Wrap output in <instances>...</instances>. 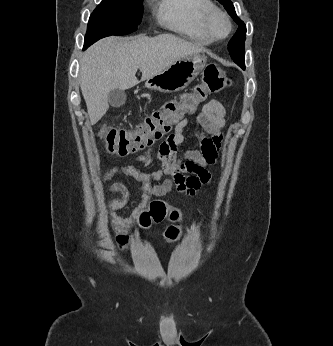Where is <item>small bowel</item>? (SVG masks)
<instances>
[{
  "mask_svg": "<svg viewBox=\"0 0 333 346\" xmlns=\"http://www.w3.org/2000/svg\"><path fill=\"white\" fill-rule=\"evenodd\" d=\"M225 116L226 109L218 100H209L203 106L196 117L201 127V130L196 132L200 146L198 149L187 150L184 153V161L178 159L177 151L185 142L184 130L189 123L187 118L181 119L176 124L174 133L158 146L157 155L161 162V169L146 172L130 165H117L105 174V182H108L118 173L125 174L138 183L143 191L141 203L134 214L128 218L120 219L114 214V211L127 204L129 192L119 182L110 186L109 193L120 194V198L108 205L112 226L119 235L118 239L114 240L115 246H132V241H128L130 232L126 231L133 224L134 215L144 208L150 196H165L173 189L188 196H194L203 185L209 183L208 167L216 162L223 140L222 131L225 127ZM152 153L151 150L139 154L137 160L143 166H149L152 163ZM161 178H165V180L160 184H154Z\"/></svg>",
  "mask_w": 333,
  "mask_h": 346,
  "instance_id": "c3829d8e",
  "label": "small bowel"
}]
</instances>
